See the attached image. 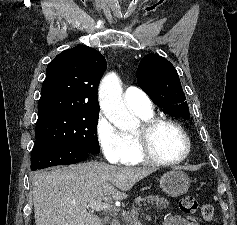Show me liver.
I'll return each mask as SVG.
<instances>
[{"instance_id":"1","label":"liver","mask_w":237,"mask_h":225,"mask_svg":"<svg viewBox=\"0 0 237 225\" xmlns=\"http://www.w3.org/2000/svg\"><path fill=\"white\" fill-rule=\"evenodd\" d=\"M155 171L90 161L38 172L32 178L35 223L102 225L88 205L103 197L125 198L135 183Z\"/></svg>"}]
</instances>
